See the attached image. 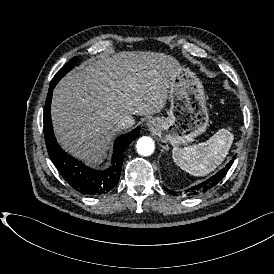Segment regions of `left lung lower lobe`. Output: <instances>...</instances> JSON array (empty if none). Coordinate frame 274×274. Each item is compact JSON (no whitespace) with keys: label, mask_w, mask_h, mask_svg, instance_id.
Masks as SVG:
<instances>
[{"label":"left lung lower lobe","mask_w":274,"mask_h":274,"mask_svg":"<svg viewBox=\"0 0 274 274\" xmlns=\"http://www.w3.org/2000/svg\"><path fill=\"white\" fill-rule=\"evenodd\" d=\"M236 157V155L234 156V158ZM233 163V160H231L227 166L225 168H223L222 170H220L218 173H216L213 177L209 178L208 180H206L205 182H203L202 184H199L198 186H194L191 188V191L194 195H197L199 193H204L207 190H209L210 188H212L213 186L217 185L218 182L220 180H222V178L226 175L227 170H229V168L231 167ZM168 192H171L169 189H166ZM174 193V192H173Z\"/></svg>","instance_id":"0a47b994"}]
</instances>
